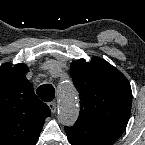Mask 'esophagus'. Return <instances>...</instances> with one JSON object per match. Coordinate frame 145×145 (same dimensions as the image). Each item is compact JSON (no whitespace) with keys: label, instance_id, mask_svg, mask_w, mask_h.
<instances>
[{"label":"esophagus","instance_id":"1","mask_svg":"<svg viewBox=\"0 0 145 145\" xmlns=\"http://www.w3.org/2000/svg\"><path fill=\"white\" fill-rule=\"evenodd\" d=\"M48 106H49V108H50V110H51L52 113H55V112H56L57 107H56L55 101L49 102V103H48Z\"/></svg>","mask_w":145,"mask_h":145}]
</instances>
